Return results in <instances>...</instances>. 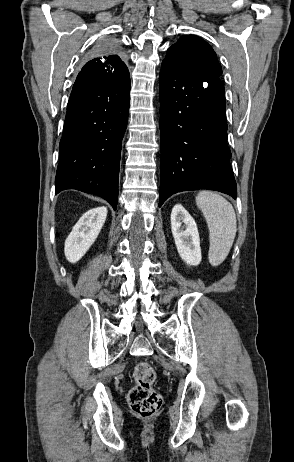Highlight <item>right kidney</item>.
I'll return each instance as SVG.
<instances>
[{"label": "right kidney", "instance_id": "right-kidney-1", "mask_svg": "<svg viewBox=\"0 0 294 462\" xmlns=\"http://www.w3.org/2000/svg\"><path fill=\"white\" fill-rule=\"evenodd\" d=\"M107 217L106 207L88 210L82 215L65 240L64 253L71 263L79 261L98 237Z\"/></svg>", "mask_w": 294, "mask_h": 462}]
</instances>
